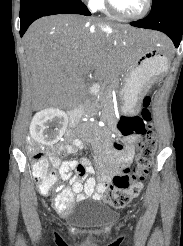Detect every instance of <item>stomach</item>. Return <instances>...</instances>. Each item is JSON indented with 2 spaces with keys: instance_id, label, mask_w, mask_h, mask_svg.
Masks as SVG:
<instances>
[{
  "instance_id": "1",
  "label": "stomach",
  "mask_w": 183,
  "mask_h": 246,
  "mask_svg": "<svg viewBox=\"0 0 183 246\" xmlns=\"http://www.w3.org/2000/svg\"><path fill=\"white\" fill-rule=\"evenodd\" d=\"M132 62L125 71V83L121 91L124 100L123 111L136 113L149 84L168 70V58L155 44L133 42ZM139 60L141 62H139Z\"/></svg>"
}]
</instances>
